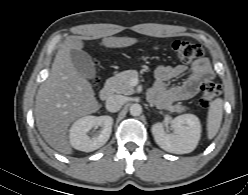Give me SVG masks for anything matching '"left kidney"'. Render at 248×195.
Wrapping results in <instances>:
<instances>
[{"label":"left kidney","mask_w":248,"mask_h":195,"mask_svg":"<svg viewBox=\"0 0 248 195\" xmlns=\"http://www.w3.org/2000/svg\"><path fill=\"white\" fill-rule=\"evenodd\" d=\"M171 128L173 133H168L161 122L152 126V134L160 148L175 154L190 153L196 148L201 136V124L197 116H177L173 119Z\"/></svg>","instance_id":"1"}]
</instances>
